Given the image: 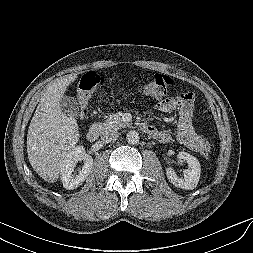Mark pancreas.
Returning <instances> with one entry per match:
<instances>
[{
	"instance_id": "cf45deb5",
	"label": "pancreas",
	"mask_w": 253,
	"mask_h": 253,
	"mask_svg": "<svg viewBox=\"0 0 253 253\" xmlns=\"http://www.w3.org/2000/svg\"><path fill=\"white\" fill-rule=\"evenodd\" d=\"M99 127V131L102 135L118 130L122 127L128 126V123L123 122L120 117H113L105 120L103 123L97 124Z\"/></svg>"
}]
</instances>
